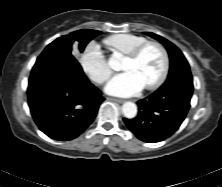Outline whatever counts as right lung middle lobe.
I'll list each match as a JSON object with an SVG mask.
<instances>
[{"mask_svg":"<svg viewBox=\"0 0 222 187\" xmlns=\"http://www.w3.org/2000/svg\"><path fill=\"white\" fill-rule=\"evenodd\" d=\"M101 34L100 31L83 29L72 32L70 35H65L57 38L50 43L46 49L49 50H61L65 53L71 54L73 45L79 44L80 52H83L85 46L90 40Z\"/></svg>","mask_w":222,"mask_h":187,"instance_id":"obj_1","label":"right lung middle lobe"}]
</instances>
